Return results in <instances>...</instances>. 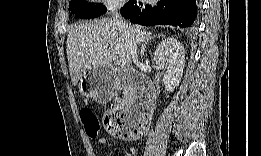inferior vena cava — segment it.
I'll use <instances>...</instances> for the list:
<instances>
[{
	"label": "inferior vena cava",
	"instance_id": "1",
	"mask_svg": "<svg viewBox=\"0 0 261 156\" xmlns=\"http://www.w3.org/2000/svg\"><path fill=\"white\" fill-rule=\"evenodd\" d=\"M122 5H123V3L121 1H115L110 4L109 10L112 14V21L115 24V26H117L121 29L124 36H126L132 60L136 65H139L140 63L138 61L137 43L134 41L133 34H132L130 27L123 20V18L120 15V8Z\"/></svg>",
	"mask_w": 261,
	"mask_h": 156
}]
</instances>
